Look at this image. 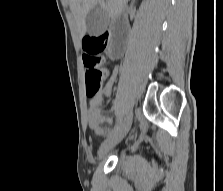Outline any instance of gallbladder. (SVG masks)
<instances>
[{
    "mask_svg": "<svg viewBox=\"0 0 223 191\" xmlns=\"http://www.w3.org/2000/svg\"><path fill=\"white\" fill-rule=\"evenodd\" d=\"M108 24V14L99 5L94 6L86 17V31L91 36L103 33Z\"/></svg>",
    "mask_w": 223,
    "mask_h": 191,
    "instance_id": "gallbladder-1",
    "label": "gallbladder"
}]
</instances>
